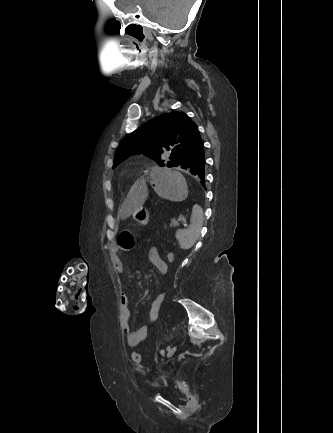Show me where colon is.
<instances>
[{"mask_svg":"<svg viewBox=\"0 0 333 433\" xmlns=\"http://www.w3.org/2000/svg\"><path fill=\"white\" fill-rule=\"evenodd\" d=\"M118 245L120 248L128 250L132 249L135 245L134 237L129 233L128 231H122L119 234L118 237ZM174 254L171 251H168L165 254V262L167 266H172V262L174 261ZM152 308L148 311L149 314V320L152 322V324H155V322L160 318L159 312L161 311V308L163 306L162 301L154 299V302H152ZM132 361L135 364H139L141 362V354L138 352L132 353Z\"/></svg>","mask_w":333,"mask_h":433,"instance_id":"5ec220e1","label":"colon"}]
</instances>
